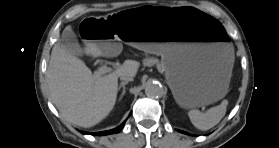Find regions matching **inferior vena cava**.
Listing matches in <instances>:
<instances>
[{
	"mask_svg": "<svg viewBox=\"0 0 279 148\" xmlns=\"http://www.w3.org/2000/svg\"><path fill=\"white\" fill-rule=\"evenodd\" d=\"M120 79H121L122 81H128V82L133 80L132 77H128V76H121Z\"/></svg>",
	"mask_w": 279,
	"mask_h": 148,
	"instance_id": "602c4592",
	"label": "inferior vena cava"
}]
</instances>
